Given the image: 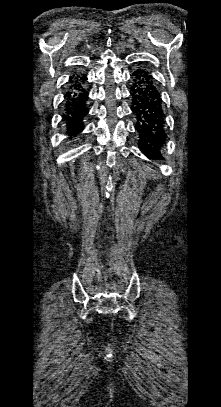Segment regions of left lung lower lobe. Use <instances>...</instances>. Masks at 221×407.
<instances>
[{
    "label": "left lung lower lobe",
    "instance_id": "obj_1",
    "mask_svg": "<svg viewBox=\"0 0 221 407\" xmlns=\"http://www.w3.org/2000/svg\"><path fill=\"white\" fill-rule=\"evenodd\" d=\"M132 106L136 116L140 150L147 157H160L159 149L165 139V114L160 91L151 73L137 68L132 73Z\"/></svg>",
    "mask_w": 221,
    "mask_h": 407
}]
</instances>
